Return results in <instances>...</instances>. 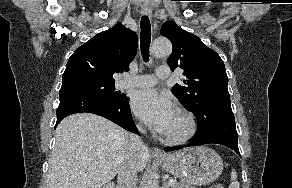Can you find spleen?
<instances>
[{
	"label": "spleen",
	"instance_id": "1",
	"mask_svg": "<svg viewBox=\"0 0 292 188\" xmlns=\"http://www.w3.org/2000/svg\"><path fill=\"white\" fill-rule=\"evenodd\" d=\"M229 188H240V184L237 181V173L235 170H232L231 172V183L229 185Z\"/></svg>",
	"mask_w": 292,
	"mask_h": 188
}]
</instances>
